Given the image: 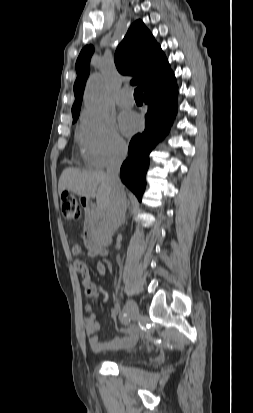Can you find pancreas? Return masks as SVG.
Listing matches in <instances>:
<instances>
[{
  "instance_id": "1",
  "label": "pancreas",
  "mask_w": 253,
  "mask_h": 413,
  "mask_svg": "<svg viewBox=\"0 0 253 413\" xmlns=\"http://www.w3.org/2000/svg\"><path fill=\"white\" fill-rule=\"evenodd\" d=\"M89 219L93 220L97 224L98 220H99V217L96 213L91 212V213L88 214V217H87V220H89Z\"/></svg>"
}]
</instances>
